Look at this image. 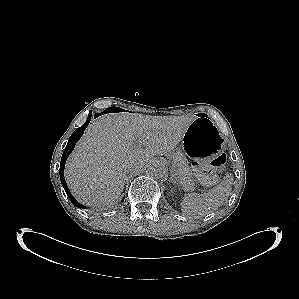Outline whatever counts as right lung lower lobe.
<instances>
[{
    "label": "right lung lower lobe",
    "instance_id": "obj_1",
    "mask_svg": "<svg viewBox=\"0 0 299 299\" xmlns=\"http://www.w3.org/2000/svg\"><path fill=\"white\" fill-rule=\"evenodd\" d=\"M92 117V112H89L87 121L85 122V124L82 127L77 128L73 134L71 135V137L69 138V141L67 143V146L63 152L62 158H61V164H60V179H61V183L63 185V188L65 190V192L67 193V196L69 197V199L71 200V202L79 207V208H85L82 204H80L78 201H76V199L72 196V194L70 193L65 178H64V166H65V162L68 158V156L70 155V153L73 151L76 142L81 138V136L83 135L86 127L89 125V122L91 120ZM97 117V116H95ZM125 198V197H124ZM123 198V200H124Z\"/></svg>",
    "mask_w": 299,
    "mask_h": 299
}]
</instances>
